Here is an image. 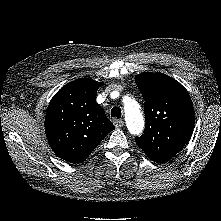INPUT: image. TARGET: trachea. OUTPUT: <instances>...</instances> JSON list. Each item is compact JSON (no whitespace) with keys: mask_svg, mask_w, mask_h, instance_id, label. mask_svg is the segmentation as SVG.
Returning a JSON list of instances; mask_svg holds the SVG:
<instances>
[{"mask_svg":"<svg viewBox=\"0 0 221 221\" xmlns=\"http://www.w3.org/2000/svg\"><path fill=\"white\" fill-rule=\"evenodd\" d=\"M111 117L112 118H121V109L119 107H113L111 110Z\"/></svg>","mask_w":221,"mask_h":221,"instance_id":"obj_1","label":"trachea"}]
</instances>
